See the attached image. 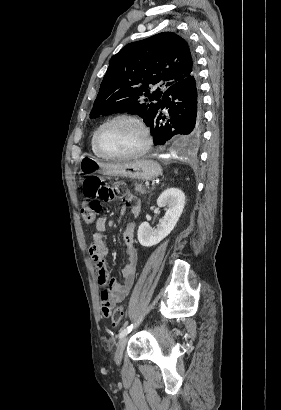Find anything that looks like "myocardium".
Here are the masks:
<instances>
[{
	"label": "myocardium",
	"mask_w": 281,
	"mask_h": 410,
	"mask_svg": "<svg viewBox=\"0 0 281 410\" xmlns=\"http://www.w3.org/2000/svg\"><path fill=\"white\" fill-rule=\"evenodd\" d=\"M119 120L131 121L134 124H136L140 128V130L142 131L143 136H144V143H143L142 147L139 150H137L136 152H133V153H130V154H124V155H113V154L107 153L102 148V146L100 144V134H101L102 130L106 126H108V125H110V124H112L116 121H119ZM94 145H95V148H96L97 152L103 158H106L108 160H128V159L138 158V157H141L144 154H146L152 146V136H151V133H150L149 128L147 127V125L140 118H138L137 116L132 115V114L122 113V114L115 115L112 118L104 121L96 129V131L94 133Z\"/></svg>",
	"instance_id": "myocardium-1"
}]
</instances>
